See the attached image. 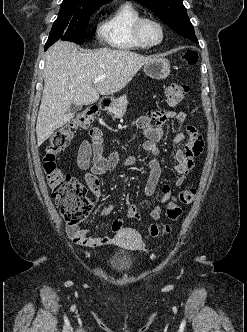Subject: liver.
Instances as JSON below:
<instances>
[{
	"label": "liver",
	"mask_w": 247,
	"mask_h": 332,
	"mask_svg": "<svg viewBox=\"0 0 247 332\" xmlns=\"http://www.w3.org/2000/svg\"><path fill=\"white\" fill-rule=\"evenodd\" d=\"M154 58L108 48L83 53L67 41L52 45L45 55L44 89L36 123L38 146L74 117L69 111L72 104H93L99 95L120 91ZM95 78L101 80L93 84Z\"/></svg>",
	"instance_id": "6515ba94"
}]
</instances>
